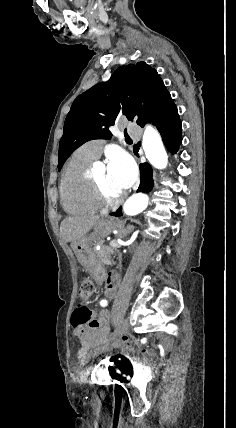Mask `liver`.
<instances>
[{
  "label": "liver",
  "mask_w": 236,
  "mask_h": 428,
  "mask_svg": "<svg viewBox=\"0 0 236 428\" xmlns=\"http://www.w3.org/2000/svg\"><path fill=\"white\" fill-rule=\"evenodd\" d=\"M97 224L98 216H68L61 222L60 236L64 242H78Z\"/></svg>",
  "instance_id": "liver-1"
}]
</instances>
